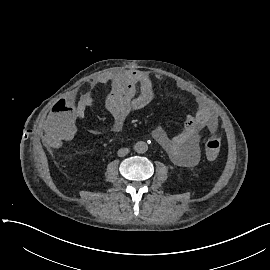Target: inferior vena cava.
Here are the masks:
<instances>
[{
  "mask_svg": "<svg viewBox=\"0 0 270 270\" xmlns=\"http://www.w3.org/2000/svg\"><path fill=\"white\" fill-rule=\"evenodd\" d=\"M129 153V149L128 148H121L118 150L117 154L119 157H124Z\"/></svg>",
  "mask_w": 270,
  "mask_h": 270,
  "instance_id": "1",
  "label": "inferior vena cava"
}]
</instances>
